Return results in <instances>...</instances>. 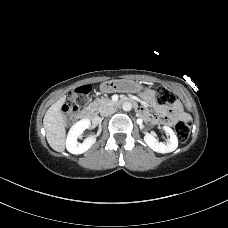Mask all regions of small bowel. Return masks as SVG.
Returning a JSON list of instances; mask_svg holds the SVG:
<instances>
[{
	"instance_id": "obj_1",
	"label": "small bowel",
	"mask_w": 228,
	"mask_h": 228,
	"mask_svg": "<svg viewBox=\"0 0 228 228\" xmlns=\"http://www.w3.org/2000/svg\"><path fill=\"white\" fill-rule=\"evenodd\" d=\"M143 99L151 104L155 103L154 93L151 91H147L143 95ZM139 111L144 116L148 115V111L144 107H141ZM152 119L155 122L173 124L177 119L187 120L188 115L183 111L182 104L179 101H175L171 107L170 112H168L166 108H161V113L157 116H154Z\"/></svg>"
}]
</instances>
